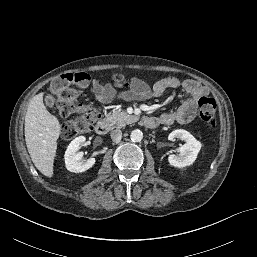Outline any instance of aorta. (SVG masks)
<instances>
[{"label":"aorta","mask_w":257,"mask_h":257,"mask_svg":"<svg viewBox=\"0 0 257 257\" xmlns=\"http://www.w3.org/2000/svg\"><path fill=\"white\" fill-rule=\"evenodd\" d=\"M130 138L133 142H140L143 139V133L139 129H135L131 132Z\"/></svg>","instance_id":"762f6f07"}]
</instances>
